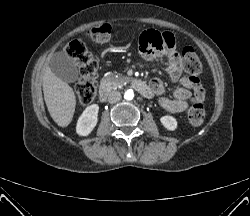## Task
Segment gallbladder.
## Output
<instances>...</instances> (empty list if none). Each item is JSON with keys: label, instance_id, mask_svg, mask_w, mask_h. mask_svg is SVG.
Returning a JSON list of instances; mask_svg holds the SVG:
<instances>
[{"label": "gallbladder", "instance_id": "gallbladder-1", "mask_svg": "<svg viewBox=\"0 0 250 216\" xmlns=\"http://www.w3.org/2000/svg\"><path fill=\"white\" fill-rule=\"evenodd\" d=\"M48 65L51 71L65 82H74L78 79L77 67L66 53H55Z\"/></svg>", "mask_w": 250, "mask_h": 216}]
</instances>
